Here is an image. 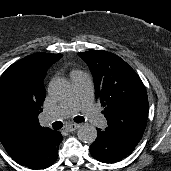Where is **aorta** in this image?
I'll return each instance as SVG.
<instances>
[{"label": "aorta", "instance_id": "1", "mask_svg": "<svg viewBox=\"0 0 171 171\" xmlns=\"http://www.w3.org/2000/svg\"><path fill=\"white\" fill-rule=\"evenodd\" d=\"M70 89V83L66 79L56 78L49 83L48 93L52 98L61 100L69 95ZM77 136L80 141L91 144L97 138V130L93 125L83 124L78 129Z\"/></svg>", "mask_w": 171, "mask_h": 171}]
</instances>
